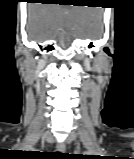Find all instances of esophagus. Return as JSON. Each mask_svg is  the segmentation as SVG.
<instances>
[{
	"instance_id": "obj_1",
	"label": "esophagus",
	"mask_w": 134,
	"mask_h": 159,
	"mask_svg": "<svg viewBox=\"0 0 134 159\" xmlns=\"http://www.w3.org/2000/svg\"><path fill=\"white\" fill-rule=\"evenodd\" d=\"M56 149L59 152H65V150H66L65 144L62 142L57 143Z\"/></svg>"
}]
</instances>
